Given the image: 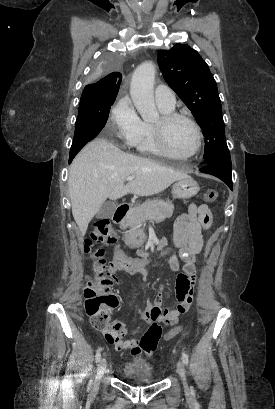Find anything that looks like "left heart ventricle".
I'll list each match as a JSON object with an SVG mask.
<instances>
[{
    "label": "left heart ventricle",
    "instance_id": "obj_1",
    "mask_svg": "<svg viewBox=\"0 0 275 409\" xmlns=\"http://www.w3.org/2000/svg\"><path fill=\"white\" fill-rule=\"evenodd\" d=\"M172 150L179 155H188L195 146V133L192 126L186 121L176 122L169 135Z\"/></svg>",
    "mask_w": 275,
    "mask_h": 409
}]
</instances>
